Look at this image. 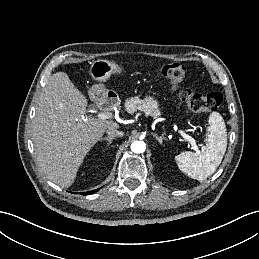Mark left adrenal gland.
Segmentation results:
<instances>
[{
	"instance_id": "left-adrenal-gland-1",
	"label": "left adrenal gland",
	"mask_w": 259,
	"mask_h": 259,
	"mask_svg": "<svg viewBox=\"0 0 259 259\" xmlns=\"http://www.w3.org/2000/svg\"><path fill=\"white\" fill-rule=\"evenodd\" d=\"M152 135L156 138V140L160 143V145L163 144V140H166L164 137L163 138L162 137H158V135L155 134V133H152Z\"/></svg>"
}]
</instances>
